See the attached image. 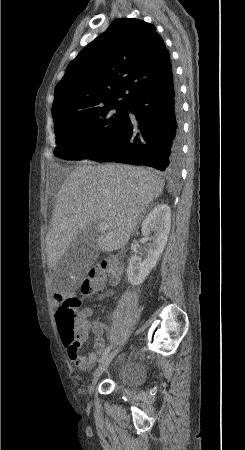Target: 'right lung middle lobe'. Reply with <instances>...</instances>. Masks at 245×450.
I'll return each instance as SVG.
<instances>
[{"label":"right lung middle lobe","instance_id":"dd1d6c3e","mask_svg":"<svg viewBox=\"0 0 245 450\" xmlns=\"http://www.w3.org/2000/svg\"><path fill=\"white\" fill-rule=\"evenodd\" d=\"M127 110L128 105L114 104L83 111H52L58 145L54 154L81 160L106 149L119 137L128 119Z\"/></svg>","mask_w":245,"mask_h":450}]
</instances>
